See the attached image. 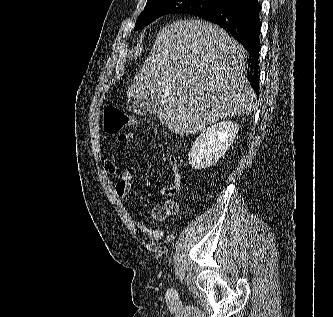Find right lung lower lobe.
I'll return each instance as SVG.
<instances>
[{"instance_id":"right-lung-lower-lobe-1","label":"right lung lower lobe","mask_w":333,"mask_h":317,"mask_svg":"<svg viewBox=\"0 0 333 317\" xmlns=\"http://www.w3.org/2000/svg\"><path fill=\"white\" fill-rule=\"evenodd\" d=\"M260 4L258 0H236L195 15L227 30L248 51L251 86L259 95Z\"/></svg>"}]
</instances>
